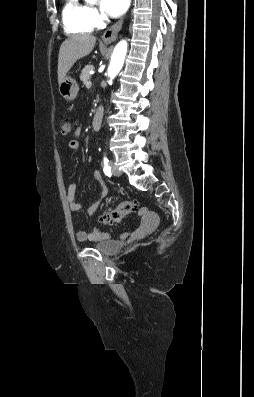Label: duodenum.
<instances>
[{"label": "duodenum", "mask_w": 254, "mask_h": 397, "mask_svg": "<svg viewBox=\"0 0 254 397\" xmlns=\"http://www.w3.org/2000/svg\"><path fill=\"white\" fill-rule=\"evenodd\" d=\"M104 110L102 107H98L94 113L92 120V127L94 130H98L101 127L103 120Z\"/></svg>", "instance_id": "duodenum-1"}]
</instances>
